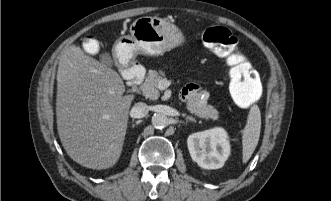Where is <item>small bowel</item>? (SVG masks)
Wrapping results in <instances>:
<instances>
[{
  "instance_id": "c3829d8e",
  "label": "small bowel",
  "mask_w": 331,
  "mask_h": 201,
  "mask_svg": "<svg viewBox=\"0 0 331 201\" xmlns=\"http://www.w3.org/2000/svg\"><path fill=\"white\" fill-rule=\"evenodd\" d=\"M196 90V86L193 84H190L188 86H186L181 94V97L183 99H185L186 97H188L191 93H193Z\"/></svg>"
}]
</instances>
